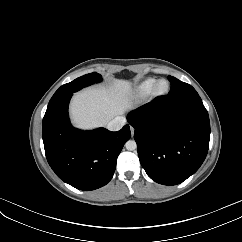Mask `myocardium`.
<instances>
[{"mask_svg": "<svg viewBox=\"0 0 242 242\" xmlns=\"http://www.w3.org/2000/svg\"><path fill=\"white\" fill-rule=\"evenodd\" d=\"M162 82H165L167 84V87L164 91H159L158 86ZM169 91H170L169 81L166 79H159L153 85V88L151 90V96H152V98H161V97L166 96L169 93Z\"/></svg>", "mask_w": 242, "mask_h": 242, "instance_id": "f54148a6", "label": "myocardium"}]
</instances>
